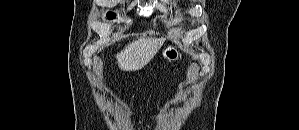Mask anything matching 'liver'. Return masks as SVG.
<instances>
[{
  "instance_id": "6515ba94",
  "label": "liver",
  "mask_w": 299,
  "mask_h": 130,
  "mask_svg": "<svg viewBox=\"0 0 299 130\" xmlns=\"http://www.w3.org/2000/svg\"><path fill=\"white\" fill-rule=\"evenodd\" d=\"M163 42V38H140L130 42L116 55L119 68L129 72L141 69L154 57Z\"/></svg>"
}]
</instances>
